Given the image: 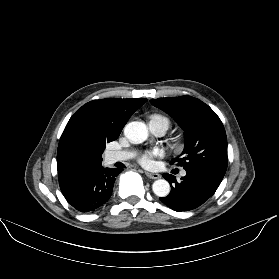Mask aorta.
<instances>
[{"instance_id": "762f6f07", "label": "aorta", "mask_w": 279, "mask_h": 279, "mask_svg": "<svg viewBox=\"0 0 279 279\" xmlns=\"http://www.w3.org/2000/svg\"><path fill=\"white\" fill-rule=\"evenodd\" d=\"M127 139L135 144L144 142L148 137V129L143 122L133 121L124 128ZM152 190L159 197H166L170 193V184L165 179H158L152 185Z\"/></svg>"}]
</instances>
